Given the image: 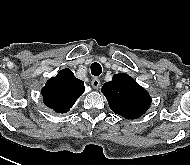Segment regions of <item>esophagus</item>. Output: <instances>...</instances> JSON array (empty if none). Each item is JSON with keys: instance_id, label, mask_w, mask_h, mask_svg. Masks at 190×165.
<instances>
[{"instance_id": "esophagus-1", "label": "esophagus", "mask_w": 190, "mask_h": 165, "mask_svg": "<svg viewBox=\"0 0 190 165\" xmlns=\"http://www.w3.org/2000/svg\"><path fill=\"white\" fill-rule=\"evenodd\" d=\"M91 85L94 89H99L100 88V80L98 78H94L91 82Z\"/></svg>"}]
</instances>
